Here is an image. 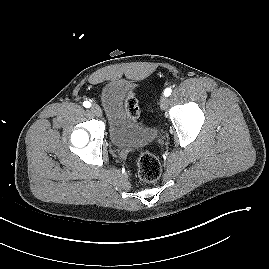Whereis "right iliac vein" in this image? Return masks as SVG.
Returning <instances> with one entry per match:
<instances>
[{
	"instance_id": "right-iliac-vein-1",
	"label": "right iliac vein",
	"mask_w": 269,
	"mask_h": 269,
	"mask_svg": "<svg viewBox=\"0 0 269 269\" xmlns=\"http://www.w3.org/2000/svg\"><path fill=\"white\" fill-rule=\"evenodd\" d=\"M91 111H92L95 115H97V116H102V110H101V108H100L98 105H96V104H93V105H92V107H91Z\"/></svg>"
}]
</instances>
